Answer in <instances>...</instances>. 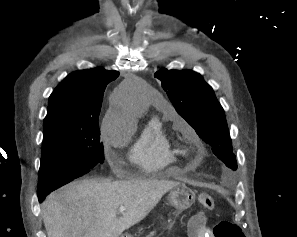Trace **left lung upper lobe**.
Wrapping results in <instances>:
<instances>
[{
  "instance_id": "obj_1",
  "label": "left lung upper lobe",
  "mask_w": 297,
  "mask_h": 237,
  "mask_svg": "<svg viewBox=\"0 0 297 237\" xmlns=\"http://www.w3.org/2000/svg\"><path fill=\"white\" fill-rule=\"evenodd\" d=\"M176 111L195 129L199 137L212 147V152L227 167L236 169L224 110L213 89L192 70L157 71L154 75Z\"/></svg>"
}]
</instances>
